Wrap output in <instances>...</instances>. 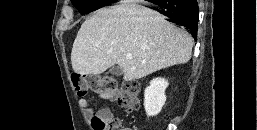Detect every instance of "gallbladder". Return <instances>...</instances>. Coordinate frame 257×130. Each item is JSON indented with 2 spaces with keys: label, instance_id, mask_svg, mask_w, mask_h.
<instances>
[{
  "label": "gallbladder",
  "instance_id": "bac80fb5",
  "mask_svg": "<svg viewBox=\"0 0 257 130\" xmlns=\"http://www.w3.org/2000/svg\"><path fill=\"white\" fill-rule=\"evenodd\" d=\"M109 73L115 76H121L123 74V70L120 66H113L110 68Z\"/></svg>",
  "mask_w": 257,
  "mask_h": 130
}]
</instances>
